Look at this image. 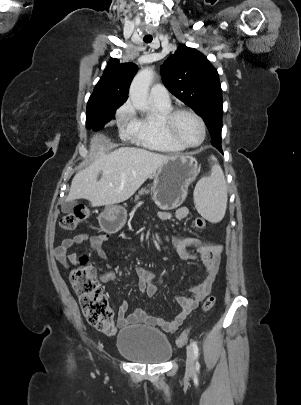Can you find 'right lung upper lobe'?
<instances>
[{"instance_id": "obj_1", "label": "right lung upper lobe", "mask_w": 301, "mask_h": 405, "mask_svg": "<svg viewBox=\"0 0 301 405\" xmlns=\"http://www.w3.org/2000/svg\"><path fill=\"white\" fill-rule=\"evenodd\" d=\"M137 70V65L132 62L120 64L117 59L110 61L87 105L99 103L109 108L121 106L128 98L129 86Z\"/></svg>"}]
</instances>
